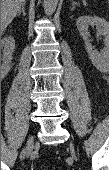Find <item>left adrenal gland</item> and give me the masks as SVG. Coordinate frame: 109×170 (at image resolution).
<instances>
[{
    "label": "left adrenal gland",
    "instance_id": "a2214340",
    "mask_svg": "<svg viewBox=\"0 0 109 170\" xmlns=\"http://www.w3.org/2000/svg\"><path fill=\"white\" fill-rule=\"evenodd\" d=\"M76 5H77V2H72V9L71 10H73Z\"/></svg>",
    "mask_w": 109,
    "mask_h": 170
}]
</instances>
